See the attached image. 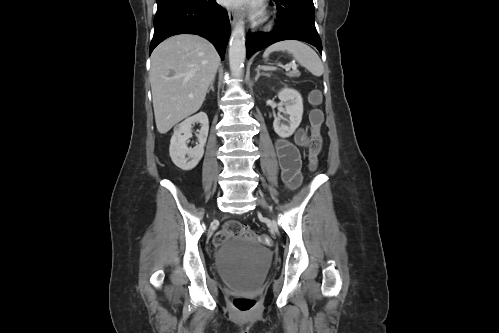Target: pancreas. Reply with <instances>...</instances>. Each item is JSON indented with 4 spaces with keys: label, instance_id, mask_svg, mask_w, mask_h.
I'll return each mask as SVG.
<instances>
[{
    "label": "pancreas",
    "instance_id": "cf45deb5",
    "mask_svg": "<svg viewBox=\"0 0 499 333\" xmlns=\"http://www.w3.org/2000/svg\"><path fill=\"white\" fill-rule=\"evenodd\" d=\"M288 77H300V72L297 69H294L286 74Z\"/></svg>",
    "mask_w": 499,
    "mask_h": 333
}]
</instances>
